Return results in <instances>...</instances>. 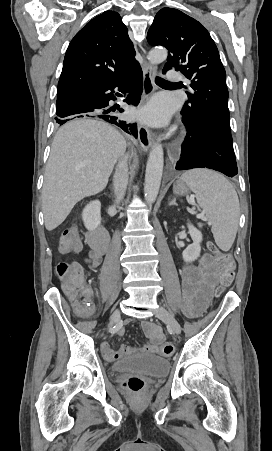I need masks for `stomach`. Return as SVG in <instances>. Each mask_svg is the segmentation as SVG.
I'll return each mask as SVG.
<instances>
[{"instance_id": "obj_1", "label": "stomach", "mask_w": 272, "mask_h": 451, "mask_svg": "<svg viewBox=\"0 0 272 451\" xmlns=\"http://www.w3.org/2000/svg\"><path fill=\"white\" fill-rule=\"evenodd\" d=\"M173 192L176 196H186V194H189V188H186L184 182L177 180L173 186Z\"/></svg>"}]
</instances>
